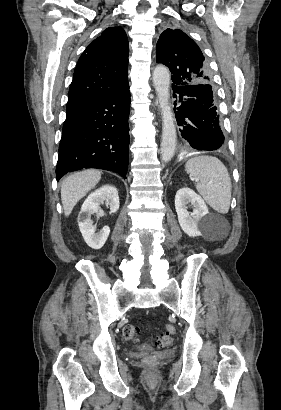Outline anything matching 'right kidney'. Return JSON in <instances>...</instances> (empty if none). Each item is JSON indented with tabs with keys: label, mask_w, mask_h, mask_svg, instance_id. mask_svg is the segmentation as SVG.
Masks as SVG:
<instances>
[{
	"label": "right kidney",
	"mask_w": 281,
	"mask_h": 410,
	"mask_svg": "<svg viewBox=\"0 0 281 410\" xmlns=\"http://www.w3.org/2000/svg\"><path fill=\"white\" fill-rule=\"evenodd\" d=\"M103 203L109 205L111 213L119 209L118 191L114 186L104 185L89 194L78 215V225L82 236L87 245L93 249L103 247L110 233L108 226H104L100 232L96 233L91 220V215L98 213Z\"/></svg>",
	"instance_id": "ca27d5eb"
}]
</instances>
